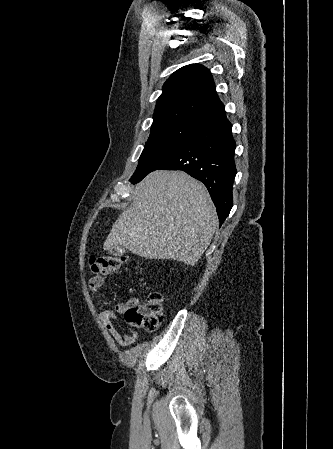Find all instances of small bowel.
Masks as SVG:
<instances>
[{
  "label": "small bowel",
  "instance_id": "c3829d8e",
  "mask_svg": "<svg viewBox=\"0 0 333 449\" xmlns=\"http://www.w3.org/2000/svg\"><path fill=\"white\" fill-rule=\"evenodd\" d=\"M103 284L104 276L102 274L94 275L88 282L91 296L96 302L97 306L100 308L98 311V318L106 326L113 340L119 346H130L137 341L138 333L135 330H132L130 333L122 334L115 326V316L111 312L101 309V289L103 287ZM136 300L137 299H130L125 302H120L117 304L116 310L120 313H123L128 305Z\"/></svg>",
  "mask_w": 333,
  "mask_h": 449
}]
</instances>
